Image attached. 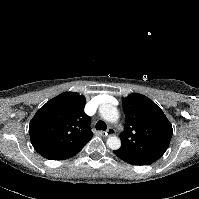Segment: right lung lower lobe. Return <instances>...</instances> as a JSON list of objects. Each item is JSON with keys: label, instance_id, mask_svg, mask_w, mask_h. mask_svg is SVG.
<instances>
[{"label": "right lung lower lobe", "instance_id": "right-lung-lower-lobe-1", "mask_svg": "<svg viewBox=\"0 0 199 199\" xmlns=\"http://www.w3.org/2000/svg\"><path fill=\"white\" fill-rule=\"evenodd\" d=\"M81 150V149H80ZM79 150V151H80ZM79 151L75 152L74 154L70 155V156H67V157H64V158H61V159H57V160H64V159H67V158H70L72 156H74L75 154H77Z\"/></svg>", "mask_w": 199, "mask_h": 199}]
</instances>
